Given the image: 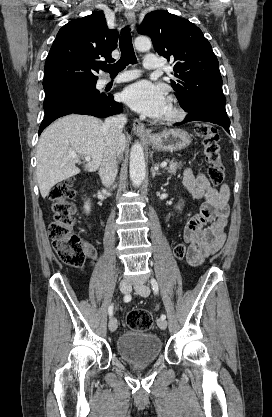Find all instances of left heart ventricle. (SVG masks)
Masks as SVG:
<instances>
[{
    "label": "left heart ventricle",
    "mask_w": 272,
    "mask_h": 417,
    "mask_svg": "<svg viewBox=\"0 0 272 417\" xmlns=\"http://www.w3.org/2000/svg\"><path fill=\"white\" fill-rule=\"evenodd\" d=\"M167 111H168V107H167V109H166L165 113H166ZM165 113H164V114H165Z\"/></svg>",
    "instance_id": "1"
}]
</instances>
